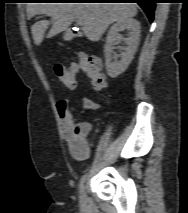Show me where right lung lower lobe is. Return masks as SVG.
I'll return each instance as SVG.
<instances>
[{
    "label": "right lung lower lobe",
    "mask_w": 188,
    "mask_h": 213,
    "mask_svg": "<svg viewBox=\"0 0 188 213\" xmlns=\"http://www.w3.org/2000/svg\"><path fill=\"white\" fill-rule=\"evenodd\" d=\"M100 1H110V0H100ZM113 1H131L138 3L148 16L149 20L151 22L153 21L156 0H113Z\"/></svg>",
    "instance_id": "right-lung-lower-lobe-1"
}]
</instances>
